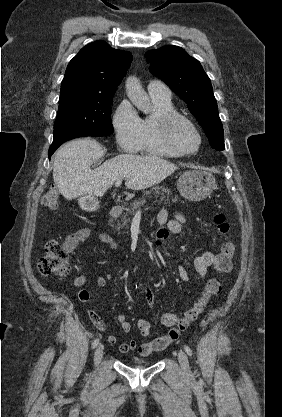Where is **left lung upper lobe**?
<instances>
[{
    "mask_svg": "<svg viewBox=\"0 0 282 417\" xmlns=\"http://www.w3.org/2000/svg\"><path fill=\"white\" fill-rule=\"evenodd\" d=\"M150 72L163 80L171 90L187 103L196 117L210 145L224 150L223 127L209 77L200 62L178 46H164L145 54Z\"/></svg>",
    "mask_w": 282,
    "mask_h": 417,
    "instance_id": "obj_1",
    "label": "left lung upper lobe"
}]
</instances>
